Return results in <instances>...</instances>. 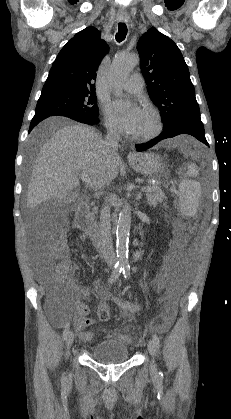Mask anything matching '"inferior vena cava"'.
<instances>
[{"instance_id":"inferior-vena-cava-1","label":"inferior vena cava","mask_w":231,"mask_h":419,"mask_svg":"<svg viewBox=\"0 0 231 419\" xmlns=\"http://www.w3.org/2000/svg\"><path fill=\"white\" fill-rule=\"evenodd\" d=\"M106 128L107 135L104 140L106 151L109 154L114 155L118 150L120 132L111 124H108ZM98 246L105 262L109 265L114 264L115 255L111 237L110 208L107 204V200L100 213Z\"/></svg>"}]
</instances>
